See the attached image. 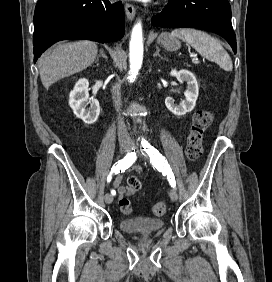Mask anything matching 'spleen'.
<instances>
[{
	"mask_svg": "<svg viewBox=\"0 0 272 282\" xmlns=\"http://www.w3.org/2000/svg\"><path fill=\"white\" fill-rule=\"evenodd\" d=\"M171 36L182 39L203 57L218 63L225 71H232L233 64L229 54L217 39L209 34L200 30L183 28L173 30Z\"/></svg>",
	"mask_w": 272,
	"mask_h": 282,
	"instance_id": "1",
	"label": "spleen"
}]
</instances>
